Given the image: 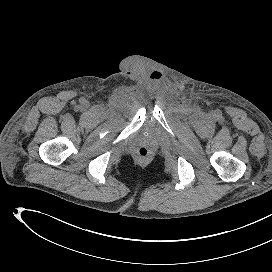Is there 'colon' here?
<instances>
[{"label":"colon","instance_id":"5ec220e1","mask_svg":"<svg viewBox=\"0 0 272 272\" xmlns=\"http://www.w3.org/2000/svg\"><path fill=\"white\" fill-rule=\"evenodd\" d=\"M140 159H146L148 157V150L146 148H140L137 152Z\"/></svg>","mask_w":272,"mask_h":272}]
</instances>
